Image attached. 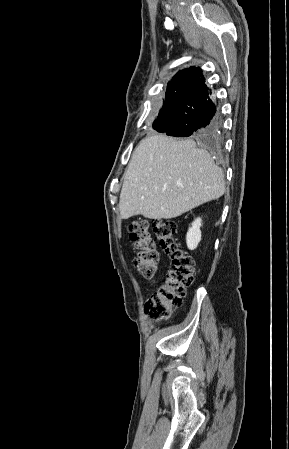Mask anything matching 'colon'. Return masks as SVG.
I'll use <instances>...</instances> for the list:
<instances>
[{
  "instance_id": "obj_1",
  "label": "colon",
  "mask_w": 289,
  "mask_h": 449,
  "mask_svg": "<svg viewBox=\"0 0 289 449\" xmlns=\"http://www.w3.org/2000/svg\"><path fill=\"white\" fill-rule=\"evenodd\" d=\"M150 229L171 259L164 281L145 304V313L151 319L160 321L168 318L172 310L182 304L184 291L193 282L195 263L178 241L177 225L174 221L137 220L130 224L129 235L137 250L134 266L143 278L154 277L159 260Z\"/></svg>"
}]
</instances>
